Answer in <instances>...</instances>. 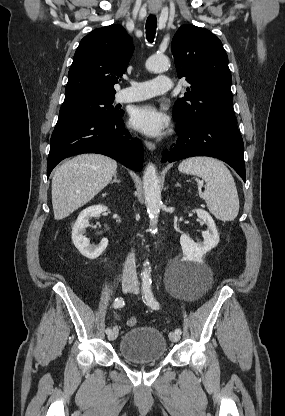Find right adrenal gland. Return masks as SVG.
I'll use <instances>...</instances> for the list:
<instances>
[{
    "label": "right adrenal gland",
    "mask_w": 285,
    "mask_h": 416,
    "mask_svg": "<svg viewBox=\"0 0 285 416\" xmlns=\"http://www.w3.org/2000/svg\"><path fill=\"white\" fill-rule=\"evenodd\" d=\"M115 182H117V184H120V180H117L116 174H115L114 180H112L111 184H115Z\"/></svg>",
    "instance_id": "2a0ac1e0"
}]
</instances>
